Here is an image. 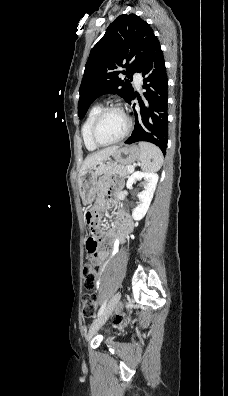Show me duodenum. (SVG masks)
<instances>
[{
    "mask_svg": "<svg viewBox=\"0 0 228 396\" xmlns=\"http://www.w3.org/2000/svg\"><path fill=\"white\" fill-rule=\"evenodd\" d=\"M115 228L121 240L126 237L131 230L130 223L122 216H118V222L115 224Z\"/></svg>",
    "mask_w": 228,
    "mask_h": 396,
    "instance_id": "410a0bca",
    "label": "duodenum"
}]
</instances>
